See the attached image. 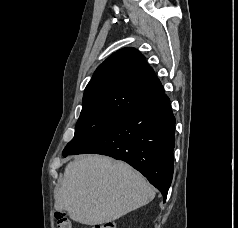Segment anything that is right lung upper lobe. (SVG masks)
I'll use <instances>...</instances> for the list:
<instances>
[{
    "label": "right lung upper lobe",
    "mask_w": 238,
    "mask_h": 228,
    "mask_svg": "<svg viewBox=\"0 0 238 228\" xmlns=\"http://www.w3.org/2000/svg\"><path fill=\"white\" fill-rule=\"evenodd\" d=\"M164 93L145 57L134 48H124L96 69L84 91L81 112L124 114Z\"/></svg>",
    "instance_id": "1"
}]
</instances>
